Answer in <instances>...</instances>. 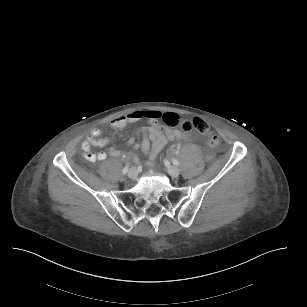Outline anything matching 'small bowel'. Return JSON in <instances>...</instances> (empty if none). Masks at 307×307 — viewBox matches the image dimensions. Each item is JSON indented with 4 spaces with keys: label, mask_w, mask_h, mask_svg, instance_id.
Returning <instances> with one entry per match:
<instances>
[{
    "label": "small bowel",
    "mask_w": 307,
    "mask_h": 307,
    "mask_svg": "<svg viewBox=\"0 0 307 307\" xmlns=\"http://www.w3.org/2000/svg\"><path fill=\"white\" fill-rule=\"evenodd\" d=\"M159 118L160 113L158 111L135 110L115 118L111 123L114 130H121L129 124L137 123L143 119L149 121L150 124L148 126H143L139 130V134L142 135V140L136 143L132 137L128 140V146L134 149L140 148L145 154H148L149 159L147 165L150 166L154 165L159 152L167 142L189 139L188 133L160 125L158 123ZM100 133L99 128H92L87 139L82 143L81 147L84 151V156L89 161L104 160L107 156H119L121 154L115 148L109 149L108 152H92L91 146L104 147L109 143L107 138H99ZM126 157L134 162H138V157L135 153H129Z\"/></svg>",
    "instance_id": "small-bowel-1"
}]
</instances>
